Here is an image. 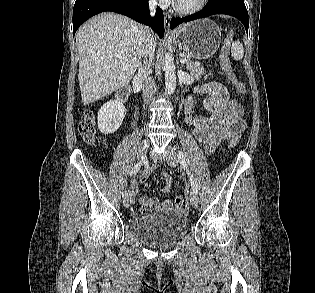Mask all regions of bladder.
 I'll return each instance as SVG.
<instances>
[{"label":"bladder","mask_w":315,"mask_h":293,"mask_svg":"<svg viewBox=\"0 0 315 293\" xmlns=\"http://www.w3.org/2000/svg\"><path fill=\"white\" fill-rule=\"evenodd\" d=\"M128 228L144 243L163 248L184 238L189 230V221L177 211L164 210L133 216L129 219Z\"/></svg>","instance_id":"bladder-1"}]
</instances>
